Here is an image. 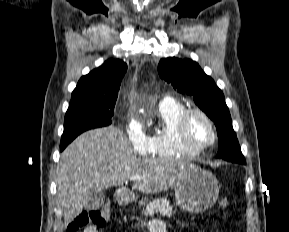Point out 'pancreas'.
<instances>
[{"mask_svg":"<svg viewBox=\"0 0 289 232\" xmlns=\"http://www.w3.org/2000/svg\"><path fill=\"white\" fill-rule=\"evenodd\" d=\"M160 213L162 216L171 217L174 213L172 206L169 204L167 198H158L149 201V203L142 210V214L152 216L154 214Z\"/></svg>","mask_w":289,"mask_h":232,"instance_id":"1","label":"pancreas"}]
</instances>
